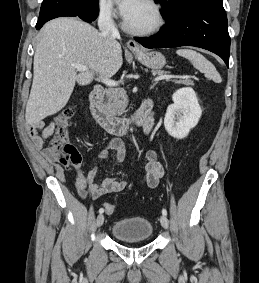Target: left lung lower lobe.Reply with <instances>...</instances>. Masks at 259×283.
Here are the masks:
<instances>
[{
  "label": "left lung lower lobe",
  "instance_id": "obj_1",
  "mask_svg": "<svg viewBox=\"0 0 259 283\" xmlns=\"http://www.w3.org/2000/svg\"><path fill=\"white\" fill-rule=\"evenodd\" d=\"M146 48L195 46L220 56L228 66L230 37L222 0H203L166 20L151 38H135Z\"/></svg>",
  "mask_w": 259,
  "mask_h": 283
}]
</instances>
